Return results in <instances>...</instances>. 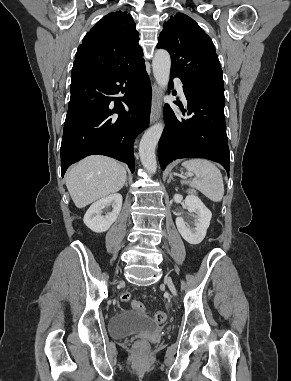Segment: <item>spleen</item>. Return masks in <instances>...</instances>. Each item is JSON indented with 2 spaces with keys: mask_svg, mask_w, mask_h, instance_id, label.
Listing matches in <instances>:
<instances>
[{
  "mask_svg": "<svg viewBox=\"0 0 291 381\" xmlns=\"http://www.w3.org/2000/svg\"><path fill=\"white\" fill-rule=\"evenodd\" d=\"M182 166L195 174L189 181L191 187L196 188L213 202H220L224 195V184L220 170L205 159H190Z\"/></svg>",
  "mask_w": 291,
  "mask_h": 381,
  "instance_id": "obj_1",
  "label": "spleen"
}]
</instances>
